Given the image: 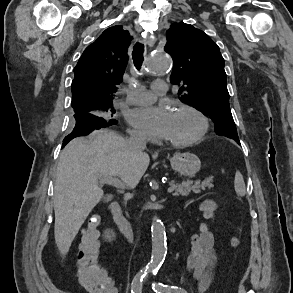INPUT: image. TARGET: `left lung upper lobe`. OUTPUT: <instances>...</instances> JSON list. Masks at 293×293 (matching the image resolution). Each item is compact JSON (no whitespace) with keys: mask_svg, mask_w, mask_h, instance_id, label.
<instances>
[{"mask_svg":"<svg viewBox=\"0 0 293 293\" xmlns=\"http://www.w3.org/2000/svg\"><path fill=\"white\" fill-rule=\"evenodd\" d=\"M173 59L171 83L179 85V99L202 109L215 123V132L239 140L226 85L224 59L217 44L202 30L173 23L164 48Z\"/></svg>","mask_w":293,"mask_h":293,"instance_id":"5c2ea615","label":"left lung upper lobe"}]
</instances>
